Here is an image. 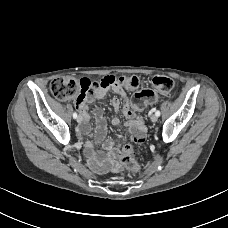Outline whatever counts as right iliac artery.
I'll use <instances>...</instances> for the list:
<instances>
[{
  "instance_id": "1",
  "label": "right iliac artery",
  "mask_w": 228,
  "mask_h": 228,
  "mask_svg": "<svg viewBox=\"0 0 228 228\" xmlns=\"http://www.w3.org/2000/svg\"><path fill=\"white\" fill-rule=\"evenodd\" d=\"M73 118H74V119L77 118V113H76V112L73 113Z\"/></svg>"
}]
</instances>
